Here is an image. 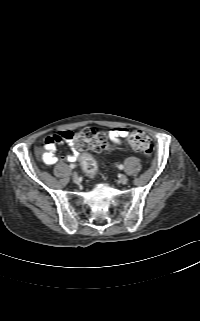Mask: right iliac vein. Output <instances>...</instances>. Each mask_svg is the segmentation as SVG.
<instances>
[{
	"mask_svg": "<svg viewBox=\"0 0 200 321\" xmlns=\"http://www.w3.org/2000/svg\"><path fill=\"white\" fill-rule=\"evenodd\" d=\"M72 177H73V180H74V181H77V180H78V175H77L76 172H73V173H72Z\"/></svg>",
	"mask_w": 200,
	"mask_h": 321,
	"instance_id": "right-iliac-vein-1",
	"label": "right iliac vein"
}]
</instances>
